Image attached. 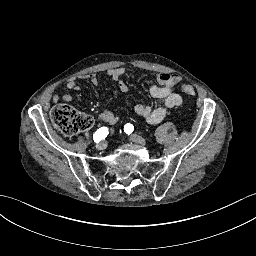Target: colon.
I'll return each instance as SVG.
<instances>
[{
    "label": "colon",
    "mask_w": 256,
    "mask_h": 256,
    "mask_svg": "<svg viewBox=\"0 0 256 256\" xmlns=\"http://www.w3.org/2000/svg\"><path fill=\"white\" fill-rule=\"evenodd\" d=\"M182 91L186 94H193L192 86L186 82L182 83ZM51 120L54 126L66 136L76 135L80 131L89 129L93 124L90 116L64 103L53 109Z\"/></svg>",
    "instance_id": "colon-1"
}]
</instances>
